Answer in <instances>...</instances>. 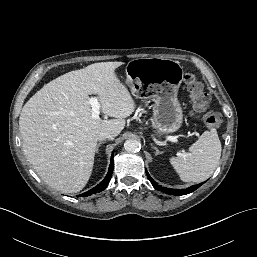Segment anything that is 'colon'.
Returning <instances> with one entry per match:
<instances>
[{
  "instance_id": "5ec220e1",
  "label": "colon",
  "mask_w": 257,
  "mask_h": 257,
  "mask_svg": "<svg viewBox=\"0 0 257 257\" xmlns=\"http://www.w3.org/2000/svg\"><path fill=\"white\" fill-rule=\"evenodd\" d=\"M185 82L194 108L199 112H205L209 104V96L203 84L191 74L185 77ZM203 123L207 128H217L222 123V116L217 112H205Z\"/></svg>"
}]
</instances>
